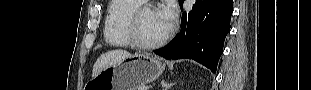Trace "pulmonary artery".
Segmentation results:
<instances>
[{
	"mask_svg": "<svg viewBox=\"0 0 311 90\" xmlns=\"http://www.w3.org/2000/svg\"><path fill=\"white\" fill-rule=\"evenodd\" d=\"M141 2H143V3H146L148 0H140Z\"/></svg>",
	"mask_w": 311,
	"mask_h": 90,
	"instance_id": "e3ab8cb5",
	"label": "pulmonary artery"
}]
</instances>
